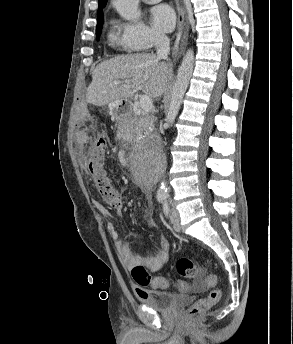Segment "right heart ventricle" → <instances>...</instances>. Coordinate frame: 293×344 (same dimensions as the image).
Here are the masks:
<instances>
[{"instance_id": "1", "label": "right heart ventricle", "mask_w": 293, "mask_h": 344, "mask_svg": "<svg viewBox=\"0 0 293 344\" xmlns=\"http://www.w3.org/2000/svg\"><path fill=\"white\" fill-rule=\"evenodd\" d=\"M108 38H109V40H110L111 43H113V44H115V45H117V46L122 47L120 38H119V36L115 33L114 28H111V29L109 30Z\"/></svg>"}]
</instances>
